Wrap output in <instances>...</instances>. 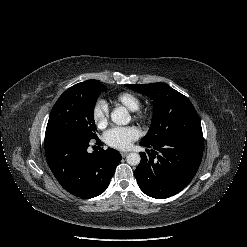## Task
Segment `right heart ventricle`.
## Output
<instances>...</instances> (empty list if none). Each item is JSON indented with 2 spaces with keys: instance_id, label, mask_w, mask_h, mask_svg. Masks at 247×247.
<instances>
[{
  "instance_id": "obj_1",
  "label": "right heart ventricle",
  "mask_w": 247,
  "mask_h": 247,
  "mask_svg": "<svg viewBox=\"0 0 247 247\" xmlns=\"http://www.w3.org/2000/svg\"><path fill=\"white\" fill-rule=\"evenodd\" d=\"M116 103L122 104L127 107L129 110H137L141 105L140 98L132 92H121L114 98Z\"/></svg>"
}]
</instances>
